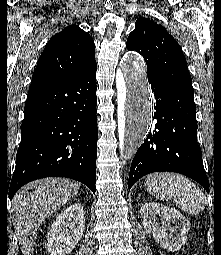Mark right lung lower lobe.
Returning a JSON list of instances; mask_svg holds the SVG:
<instances>
[{"mask_svg":"<svg viewBox=\"0 0 221 255\" xmlns=\"http://www.w3.org/2000/svg\"><path fill=\"white\" fill-rule=\"evenodd\" d=\"M96 63L75 76L31 88L9 197L26 183L68 177L95 193L97 158Z\"/></svg>","mask_w":221,"mask_h":255,"instance_id":"98d812e1","label":"right lung lower lobe"}]
</instances>
